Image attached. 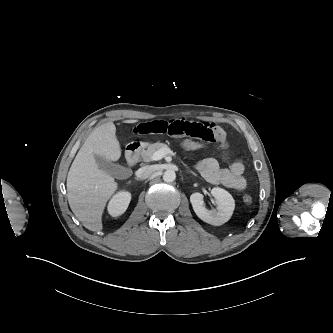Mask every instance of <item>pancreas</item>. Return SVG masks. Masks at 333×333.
<instances>
[{
	"instance_id": "1",
	"label": "pancreas",
	"mask_w": 333,
	"mask_h": 333,
	"mask_svg": "<svg viewBox=\"0 0 333 333\" xmlns=\"http://www.w3.org/2000/svg\"><path fill=\"white\" fill-rule=\"evenodd\" d=\"M163 148H169L165 143H160V142H156L153 144H149L146 150H143L141 152V157L146 160V161H150L152 155Z\"/></svg>"
}]
</instances>
